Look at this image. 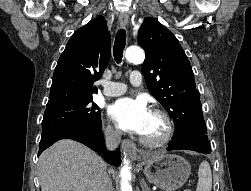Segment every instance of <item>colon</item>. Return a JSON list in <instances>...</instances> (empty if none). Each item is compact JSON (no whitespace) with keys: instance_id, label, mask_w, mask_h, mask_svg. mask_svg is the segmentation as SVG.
<instances>
[{"instance_id":"1","label":"colon","mask_w":251,"mask_h":191,"mask_svg":"<svg viewBox=\"0 0 251 191\" xmlns=\"http://www.w3.org/2000/svg\"><path fill=\"white\" fill-rule=\"evenodd\" d=\"M184 191H189L188 189H185Z\"/></svg>"}]
</instances>
